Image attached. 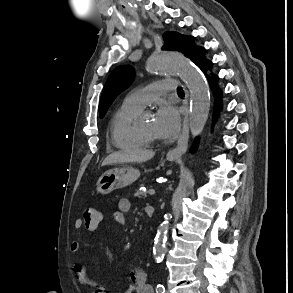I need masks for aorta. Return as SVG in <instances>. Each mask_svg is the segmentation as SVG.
<instances>
[{
  "label": "aorta",
  "instance_id": "1",
  "mask_svg": "<svg viewBox=\"0 0 293 293\" xmlns=\"http://www.w3.org/2000/svg\"><path fill=\"white\" fill-rule=\"evenodd\" d=\"M147 65L153 73H176L185 82L190 91V131L193 137L199 135L204 128L210 109L209 86L199 70L189 59L174 51L154 53ZM170 220L171 214H166L157 230L153 247L154 259L157 262L162 260L165 253Z\"/></svg>",
  "mask_w": 293,
  "mask_h": 293
}]
</instances>
